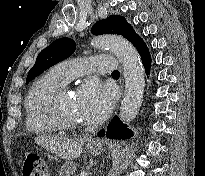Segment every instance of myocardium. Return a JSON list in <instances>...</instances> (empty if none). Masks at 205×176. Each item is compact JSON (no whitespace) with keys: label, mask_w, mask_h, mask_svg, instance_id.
I'll use <instances>...</instances> for the list:
<instances>
[{"label":"myocardium","mask_w":205,"mask_h":176,"mask_svg":"<svg viewBox=\"0 0 205 176\" xmlns=\"http://www.w3.org/2000/svg\"><path fill=\"white\" fill-rule=\"evenodd\" d=\"M68 93H70L69 89L64 86L54 91L47 100L48 115L57 125L58 130H70L83 127L82 123L68 119L62 113L61 99Z\"/></svg>","instance_id":"myocardium-1"}]
</instances>
